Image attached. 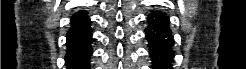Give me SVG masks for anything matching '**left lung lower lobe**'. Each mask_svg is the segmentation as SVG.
Returning <instances> with one entry per match:
<instances>
[{"label": "left lung lower lobe", "instance_id": "0a47b994", "mask_svg": "<svg viewBox=\"0 0 246 69\" xmlns=\"http://www.w3.org/2000/svg\"><path fill=\"white\" fill-rule=\"evenodd\" d=\"M146 39L154 69H170L173 55L174 40L169 27V19L164 13L152 11L148 18Z\"/></svg>", "mask_w": 246, "mask_h": 69}]
</instances>
